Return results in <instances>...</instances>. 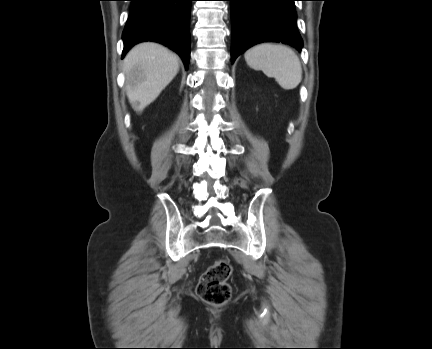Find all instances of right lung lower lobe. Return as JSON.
<instances>
[{"mask_svg": "<svg viewBox=\"0 0 432 349\" xmlns=\"http://www.w3.org/2000/svg\"><path fill=\"white\" fill-rule=\"evenodd\" d=\"M131 9L123 31L122 58L135 44L154 41L179 54L185 68L190 58L189 18L192 0H129Z\"/></svg>", "mask_w": 432, "mask_h": 349, "instance_id": "1", "label": "right lung lower lobe"}]
</instances>
